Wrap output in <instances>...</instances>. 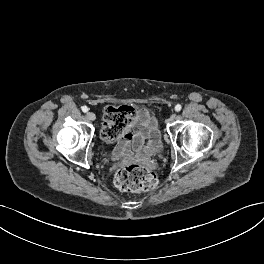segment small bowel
<instances>
[{"mask_svg": "<svg viewBox=\"0 0 264 264\" xmlns=\"http://www.w3.org/2000/svg\"><path fill=\"white\" fill-rule=\"evenodd\" d=\"M104 119L103 127L106 125ZM160 134L157 120L145 108L135 110L130 129L117 140L114 154L128 161L132 157V151L139 153L151 149Z\"/></svg>", "mask_w": 264, "mask_h": 264, "instance_id": "small-bowel-1", "label": "small bowel"}]
</instances>
